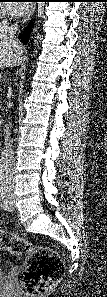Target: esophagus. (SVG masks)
Returning a JSON list of instances; mask_svg holds the SVG:
<instances>
[{"instance_id": "obj_1", "label": "esophagus", "mask_w": 107, "mask_h": 297, "mask_svg": "<svg viewBox=\"0 0 107 297\" xmlns=\"http://www.w3.org/2000/svg\"><path fill=\"white\" fill-rule=\"evenodd\" d=\"M35 9H36L35 5L31 7V9L29 11V14L27 15V20L33 15Z\"/></svg>"}]
</instances>
